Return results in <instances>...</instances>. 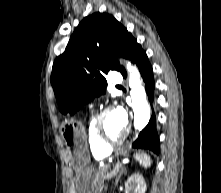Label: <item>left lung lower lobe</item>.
I'll use <instances>...</instances> for the list:
<instances>
[{
    "instance_id": "obj_1",
    "label": "left lung lower lobe",
    "mask_w": 221,
    "mask_h": 193,
    "mask_svg": "<svg viewBox=\"0 0 221 193\" xmlns=\"http://www.w3.org/2000/svg\"><path fill=\"white\" fill-rule=\"evenodd\" d=\"M128 59H130L133 63L139 68L141 76L145 82V89L147 95L152 102L153 100V90L155 87L154 79H153V69L148 61V57L146 52L142 49L140 44L136 43L132 48ZM121 74L124 78H126L127 74L125 69L121 71ZM132 148L135 149H148L154 152L155 154L160 153V142L159 136L156 131V122L155 115L153 113L151 120L147 124V126L140 132L138 138L133 142Z\"/></svg>"
}]
</instances>
